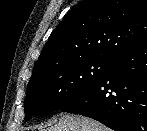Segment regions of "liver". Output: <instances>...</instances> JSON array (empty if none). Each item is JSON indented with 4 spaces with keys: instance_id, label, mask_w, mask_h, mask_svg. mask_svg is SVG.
Here are the masks:
<instances>
[{
    "instance_id": "liver-1",
    "label": "liver",
    "mask_w": 147,
    "mask_h": 131,
    "mask_svg": "<svg viewBox=\"0 0 147 131\" xmlns=\"http://www.w3.org/2000/svg\"><path fill=\"white\" fill-rule=\"evenodd\" d=\"M46 131H109L101 123L79 115H61L59 121Z\"/></svg>"
}]
</instances>
